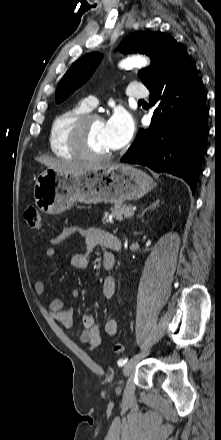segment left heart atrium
I'll use <instances>...</instances> for the list:
<instances>
[{"label":"left heart atrium","instance_id":"1","mask_svg":"<svg viewBox=\"0 0 221 440\" xmlns=\"http://www.w3.org/2000/svg\"><path fill=\"white\" fill-rule=\"evenodd\" d=\"M135 124L132 116L124 109H117L105 122V135L112 150L126 145L133 136Z\"/></svg>","mask_w":221,"mask_h":440}]
</instances>
